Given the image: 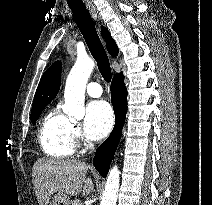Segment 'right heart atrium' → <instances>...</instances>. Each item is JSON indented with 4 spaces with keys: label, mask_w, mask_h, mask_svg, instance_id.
I'll return each instance as SVG.
<instances>
[{
    "label": "right heart atrium",
    "mask_w": 212,
    "mask_h": 205,
    "mask_svg": "<svg viewBox=\"0 0 212 205\" xmlns=\"http://www.w3.org/2000/svg\"><path fill=\"white\" fill-rule=\"evenodd\" d=\"M72 135L75 141L81 140V133L77 125L72 124Z\"/></svg>",
    "instance_id": "d8ad5b80"
}]
</instances>
